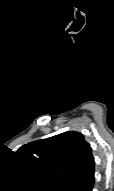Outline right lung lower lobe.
Segmentation results:
<instances>
[{
    "instance_id": "right-lung-lower-lobe-1",
    "label": "right lung lower lobe",
    "mask_w": 114,
    "mask_h": 191,
    "mask_svg": "<svg viewBox=\"0 0 114 191\" xmlns=\"http://www.w3.org/2000/svg\"><path fill=\"white\" fill-rule=\"evenodd\" d=\"M94 180V172L85 176L75 177L59 186L57 191H92Z\"/></svg>"
}]
</instances>
